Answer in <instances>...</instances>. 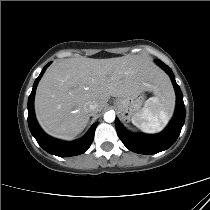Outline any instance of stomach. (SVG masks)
Here are the masks:
<instances>
[{"label": "stomach", "instance_id": "stomach-1", "mask_svg": "<svg viewBox=\"0 0 210 210\" xmlns=\"http://www.w3.org/2000/svg\"><path fill=\"white\" fill-rule=\"evenodd\" d=\"M144 100V92H140L129 97L117 98L114 105L124 120H130L141 112Z\"/></svg>", "mask_w": 210, "mask_h": 210}]
</instances>
